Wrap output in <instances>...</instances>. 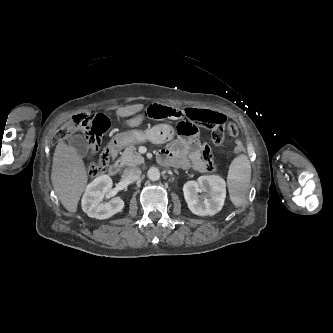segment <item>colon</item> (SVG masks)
<instances>
[{"instance_id": "colon-1", "label": "colon", "mask_w": 333, "mask_h": 333, "mask_svg": "<svg viewBox=\"0 0 333 333\" xmlns=\"http://www.w3.org/2000/svg\"><path fill=\"white\" fill-rule=\"evenodd\" d=\"M185 113L192 120H198L201 122L204 120V115L196 109H187ZM137 117L140 122L145 123L149 120L178 119L181 117V112L167 106L154 104L146 108V110L140 111ZM208 125L212 129L211 140L215 145L222 144L226 135H237V127L232 123L213 122L208 123ZM108 127L109 122L104 116H93L87 113H80L72 117L69 127L60 130L57 139L66 141L73 132L79 131L84 135L88 143L89 152L93 155L99 151L101 137ZM177 130L179 134L186 137L196 135L195 127L189 122H181L178 125ZM234 150L237 153H242L245 150L244 143L242 141H237L234 145ZM201 157L205 163L206 170L213 171L216 168L212 152L207 145L202 147ZM110 158V150L108 147H105L97 162L94 160L89 161L88 173L91 176H97L103 173L109 164Z\"/></svg>"}]
</instances>
